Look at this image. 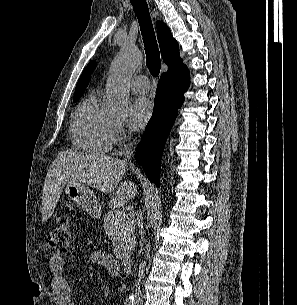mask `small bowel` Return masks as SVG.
Masks as SVG:
<instances>
[{"label":"small bowel","mask_w":297,"mask_h":305,"mask_svg":"<svg viewBox=\"0 0 297 305\" xmlns=\"http://www.w3.org/2000/svg\"><path fill=\"white\" fill-rule=\"evenodd\" d=\"M90 260L94 264L103 265L111 275L118 276L120 268L117 261L105 251H94ZM49 266L52 272L51 290L61 305H77L74 301L71 287L64 275V260L60 257H51Z\"/></svg>","instance_id":"1"}]
</instances>
